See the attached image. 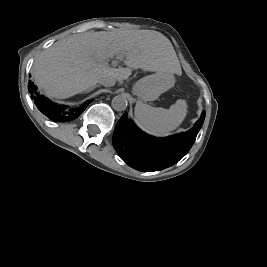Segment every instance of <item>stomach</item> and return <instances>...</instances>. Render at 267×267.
Segmentation results:
<instances>
[{"label": "stomach", "instance_id": "stomach-1", "mask_svg": "<svg viewBox=\"0 0 267 267\" xmlns=\"http://www.w3.org/2000/svg\"><path fill=\"white\" fill-rule=\"evenodd\" d=\"M174 77L166 72H156L138 80L132 89L140 100L154 101L174 85Z\"/></svg>", "mask_w": 267, "mask_h": 267}]
</instances>
